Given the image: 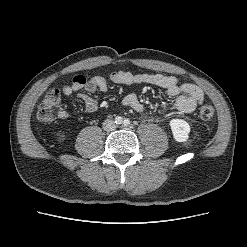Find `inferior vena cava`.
<instances>
[{"mask_svg": "<svg viewBox=\"0 0 247 247\" xmlns=\"http://www.w3.org/2000/svg\"><path fill=\"white\" fill-rule=\"evenodd\" d=\"M116 128V124L114 123L113 120L111 119H106L104 122H103V129L105 131H113L115 130Z\"/></svg>", "mask_w": 247, "mask_h": 247, "instance_id": "inferior-vena-cava-1", "label": "inferior vena cava"}]
</instances>
